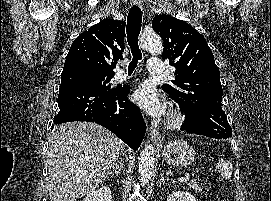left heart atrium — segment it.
Returning a JSON list of instances; mask_svg holds the SVG:
<instances>
[{
  "mask_svg": "<svg viewBox=\"0 0 271 201\" xmlns=\"http://www.w3.org/2000/svg\"><path fill=\"white\" fill-rule=\"evenodd\" d=\"M133 100L151 116H161L166 111L164 100L159 96L151 83H142L135 90Z\"/></svg>",
  "mask_w": 271,
  "mask_h": 201,
  "instance_id": "left-heart-atrium-1",
  "label": "left heart atrium"
}]
</instances>
